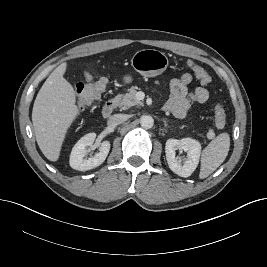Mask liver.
<instances>
[{
  "mask_svg": "<svg viewBox=\"0 0 267 267\" xmlns=\"http://www.w3.org/2000/svg\"><path fill=\"white\" fill-rule=\"evenodd\" d=\"M67 63L46 79L34 101L32 122L38 146L50 161H57L66 133L79 113L73 86L64 78Z\"/></svg>",
  "mask_w": 267,
  "mask_h": 267,
  "instance_id": "6515ba94",
  "label": "liver"
}]
</instances>
